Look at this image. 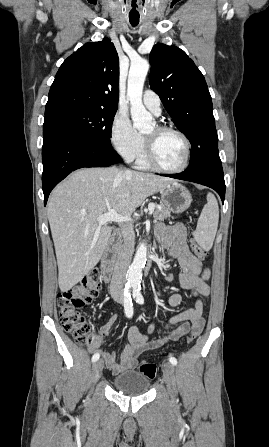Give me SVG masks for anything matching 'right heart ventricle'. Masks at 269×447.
I'll return each mask as SVG.
<instances>
[{
  "label": "right heart ventricle",
  "instance_id": "1",
  "mask_svg": "<svg viewBox=\"0 0 269 447\" xmlns=\"http://www.w3.org/2000/svg\"><path fill=\"white\" fill-rule=\"evenodd\" d=\"M136 160V164L142 168H148L149 164L146 161V156H145V147H144V140L143 138L141 139V144H140V149L139 152L137 154V156L135 157Z\"/></svg>",
  "mask_w": 269,
  "mask_h": 447
}]
</instances>
